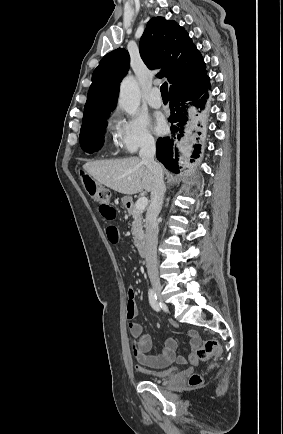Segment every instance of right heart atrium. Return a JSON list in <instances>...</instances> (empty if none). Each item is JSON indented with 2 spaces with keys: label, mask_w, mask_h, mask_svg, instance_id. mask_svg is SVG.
Returning <instances> with one entry per match:
<instances>
[{
  "label": "right heart atrium",
  "mask_w": 283,
  "mask_h": 434,
  "mask_svg": "<svg viewBox=\"0 0 283 434\" xmlns=\"http://www.w3.org/2000/svg\"><path fill=\"white\" fill-rule=\"evenodd\" d=\"M115 139L118 149L128 154L154 144L149 123L140 115H118L115 120Z\"/></svg>",
  "instance_id": "obj_1"
}]
</instances>
